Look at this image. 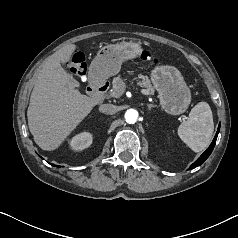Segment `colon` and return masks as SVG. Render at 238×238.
<instances>
[{"mask_svg":"<svg viewBox=\"0 0 238 238\" xmlns=\"http://www.w3.org/2000/svg\"><path fill=\"white\" fill-rule=\"evenodd\" d=\"M142 60H149L151 59V54L147 51H144L141 54ZM153 62L156 63L157 60L153 59ZM71 69L74 73V75L77 78H83L86 74V63L84 60V57L81 54H75L71 60Z\"/></svg>","mask_w":238,"mask_h":238,"instance_id":"colon-1","label":"colon"}]
</instances>
